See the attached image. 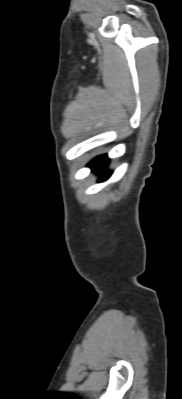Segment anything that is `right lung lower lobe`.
Returning a JSON list of instances; mask_svg holds the SVG:
<instances>
[{
	"label": "right lung lower lobe",
	"instance_id": "1",
	"mask_svg": "<svg viewBox=\"0 0 182 399\" xmlns=\"http://www.w3.org/2000/svg\"><path fill=\"white\" fill-rule=\"evenodd\" d=\"M108 161H109V160H108L107 156H106V155H102V156H99V157L95 158L94 160H92V161L89 163V166L92 168V171H94V172H101V171H104V170H105ZM109 176H110V173L104 175V176L100 179V181L106 180Z\"/></svg>",
	"mask_w": 182,
	"mask_h": 399
}]
</instances>
